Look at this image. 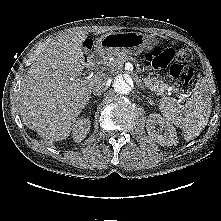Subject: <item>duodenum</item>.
<instances>
[{"mask_svg":"<svg viewBox=\"0 0 221 221\" xmlns=\"http://www.w3.org/2000/svg\"><path fill=\"white\" fill-rule=\"evenodd\" d=\"M101 59V53L93 52L88 56L87 63L89 67L96 65Z\"/></svg>","mask_w":221,"mask_h":221,"instance_id":"duodenum-1","label":"duodenum"}]
</instances>
